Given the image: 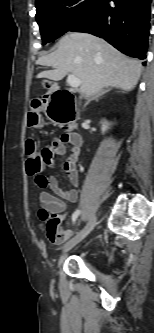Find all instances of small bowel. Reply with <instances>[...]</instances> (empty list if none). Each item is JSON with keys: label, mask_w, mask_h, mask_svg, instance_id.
Wrapping results in <instances>:
<instances>
[{"label": "small bowel", "mask_w": 154, "mask_h": 333, "mask_svg": "<svg viewBox=\"0 0 154 333\" xmlns=\"http://www.w3.org/2000/svg\"><path fill=\"white\" fill-rule=\"evenodd\" d=\"M81 145L82 138L80 135L76 133H64L55 138L50 146H46L41 150L40 154L43 163L49 167H53L55 156L65 155L67 146H70L71 153L64 164V170L72 188L63 189L57 178L53 175H36L35 183L43 189L40 193L41 209L39 210V217L52 213L53 215H57L61 220V214L66 209L65 202L74 203L77 201V188L80 184V177L76 163ZM59 232L61 237L53 242L55 244L63 243L71 235V231L69 230H59Z\"/></svg>", "instance_id": "1"}]
</instances>
